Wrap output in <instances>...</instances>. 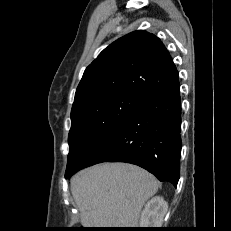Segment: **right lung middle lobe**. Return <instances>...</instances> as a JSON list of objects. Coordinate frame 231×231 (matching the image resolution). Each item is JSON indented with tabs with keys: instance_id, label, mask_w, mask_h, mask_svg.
I'll return each instance as SVG.
<instances>
[{
	"instance_id": "right-lung-middle-lobe-1",
	"label": "right lung middle lobe",
	"mask_w": 231,
	"mask_h": 231,
	"mask_svg": "<svg viewBox=\"0 0 231 231\" xmlns=\"http://www.w3.org/2000/svg\"><path fill=\"white\" fill-rule=\"evenodd\" d=\"M141 101L142 98L132 94H115L72 111L67 169L76 167L94 147L133 115Z\"/></svg>"
}]
</instances>
